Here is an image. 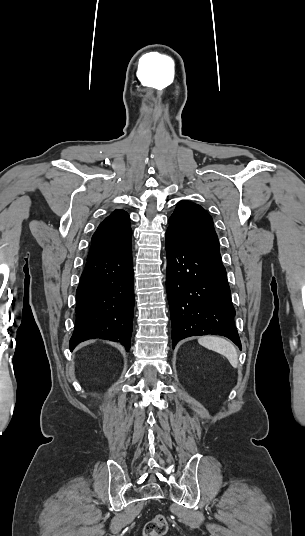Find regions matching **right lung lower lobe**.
<instances>
[{
    "label": "right lung lower lobe",
    "mask_w": 305,
    "mask_h": 536,
    "mask_svg": "<svg viewBox=\"0 0 305 536\" xmlns=\"http://www.w3.org/2000/svg\"><path fill=\"white\" fill-rule=\"evenodd\" d=\"M75 312L71 350L84 340L101 338L120 342L129 351L134 313L131 247L87 260L76 291Z\"/></svg>",
    "instance_id": "right-lung-lower-lobe-1"
}]
</instances>
